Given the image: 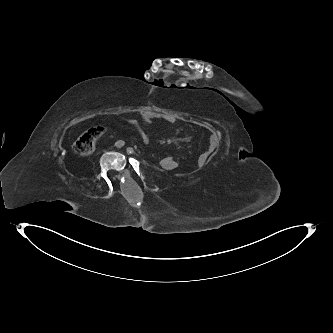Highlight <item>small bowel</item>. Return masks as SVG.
Returning <instances> with one entry per match:
<instances>
[{
	"mask_svg": "<svg viewBox=\"0 0 333 333\" xmlns=\"http://www.w3.org/2000/svg\"><path fill=\"white\" fill-rule=\"evenodd\" d=\"M154 120H162L167 123H174L176 122L177 119L174 116L157 113L151 110L140 112L134 119H132L131 124L133 125L134 128H136L141 138L146 142L150 141L151 136L147 129L145 130L142 129L141 125H144L147 128ZM209 154L210 153L207 151L199 156L197 160L198 167H202L207 163L209 159ZM177 167H178V162L173 158L172 163L167 164V166L162 168L165 170H173L176 169Z\"/></svg>",
	"mask_w": 333,
	"mask_h": 333,
	"instance_id": "c3829d8e",
	"label": "small bowel"
}]
</instances>
